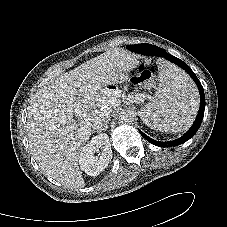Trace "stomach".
<instances>
[{"label": "stomach", "mask_w": 227, "mask_h": 227, "mask_svg": "<svg viewBox=\"0 0 227 227\" xmlns=\"http://www.w3.org/2000/svg\"><path fill=\"white\" fill-rule=\"evenodd\" d=\"M107 89L113 94L115 95L116 97H120L121 94H120V90L118 89L117 86L115 85H111V86H108Z\"/></svg>", "instance_id": "0dacf381"}]
</instances>
